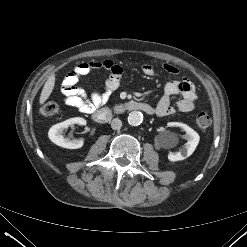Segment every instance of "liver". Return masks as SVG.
Segmentation results:
<instances>
[{"label":"liver","mask_w":247,"mask_h":247,"mask_svg":"<svg viewBox=\"0 0 247 247\" xmlns=\"http://www.w3.org/2000/svg\"><path fill=\"white\" fill-rule=\"evenodd\" d=\"M55 85V75L52 74L51 76L48 77L47 81L45 82L40 98H39V103L43 104L51 95L53 88Z\"/></svg>","instance_id":"6515ba94"}]
</instances>
